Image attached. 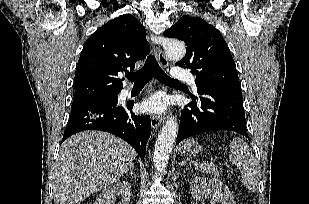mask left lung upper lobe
Returning a JSON list of instances; mask_svg holds the SVG:
<instances>
[{"instance_id": "1", "label": "left lung upper lobe", "mask_w": 309, "mask_h": 204, "mask_svg": "<svg viewBox=\"0 0 309 204\" xmlns=\"http://www.w3.org/2000/svg\"><path fill=\"white\" fill-rule=\"evenodd\" d=\"M165 37L185 42L186 55L175 65L191 69L197 86L240 90L238 73L230 50L220 32L201 18L183 16Z\"/></svg>"}]
</instances>
